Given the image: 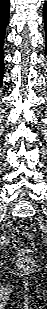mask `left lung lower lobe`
<instances>
[{
	"instance_id": "1",
	"label": "left lung lower lobe",
	"mask_w": 47,
	"mask_h": 309,
	"mask_svg": "<svg viewBox=\"0 0 47 309\" xmlns=\"http://www.w3.org/2000/svg\"><path fill=\"white\" fill-rule=\"evenodd\" d=\"M44 19H45V29H46V41H47V3L44 4ZM47 53V44H46Z\"/></svg>"
}]
</instances>
